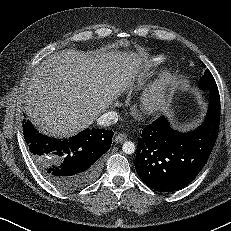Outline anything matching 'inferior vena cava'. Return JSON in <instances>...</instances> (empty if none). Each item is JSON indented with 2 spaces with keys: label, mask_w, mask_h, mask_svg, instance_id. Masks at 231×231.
Wrapping results in <instances>:
<instances>
[{
  "label": "inferior vena cava",
  "mask_w": 231,
  "mask_h": 231,
  "mask_svg": "<svg viewBox=\"0 0 231 231\" xmlns=\"http://www.w3.org/2000/svg\"><path fill=\"white\" fill-rule=\"evenodd\" d=\"M118 121V114L115 111L106 112L101 115L97 123L101 126H110Z\"/></svg>",
  "instance_id": "obj_1"
}]
</instances>
